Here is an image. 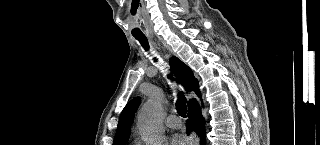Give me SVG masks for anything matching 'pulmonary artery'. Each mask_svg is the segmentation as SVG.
Listing matches in <instances>:
<instances>
[{
	"mask_svg": "<svg viewBox=\"0 0 320 145\" xmlns=\"http://www.w3.org/2000/svg\"><path fill=\"white\" fill-rule=\"evenodd\" d=\"M166 125L169 128L177 129V128L181 127L182 123H181V120L178 116L170 115L166 119Z\"/></svg>",
	"mask_w": 320,
	"mask_h": 145,
	"instance_id": "e3ab8cb5",
	"label": "pulmonary artery"
}]
</instances>
